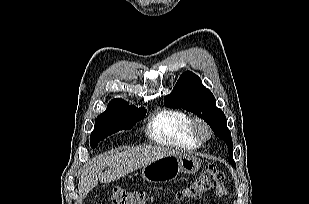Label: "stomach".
<instances>
[{
    "label": "stomach",
    "instance_id": "0dacf381",
    "mask_svg": "<svg viewBox=\"0 0 309 204\" xmlns=\"http://www.w3.org/2000/svg\"><path fill=\"white\" fill-rule=\"evenodd\" d=\"M200 166V159L192 155H170L144 166L142 177L147 182L159 183L173 180L180 173L194 174L199 170Z\"/></svg>",
    "mask_w": 309,
    "mask_h": 204
}]
</instances>
